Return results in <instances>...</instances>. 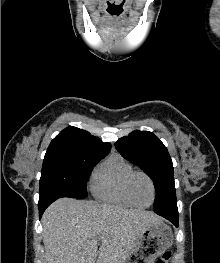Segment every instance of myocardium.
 <instances>
[{"label": "myocardium", "mask_w": 220, "mask_h": 263, "mask_svg": "<svg viewBox=\"0 0 220 263\" xmlns=\"http://www.w3.org/2000/svg\"><path fill=\"white\" fill-rule=\"evenodd\" d=\"M138 176L144 177L148 181V183L151 187V190H152V199H151L150 203L147 205L138 204L134 198V195H133V190H132L133 182H134L135 178ZM126 192H127L128 198L132 202V204L136 207H139V208H147V207L151 206L156 199V187H155L154 181L147 173H145L143 171H134L128 177V180L126 183Z\"/></svg>", "instance_id": "f54148a6"}]
</instances>
